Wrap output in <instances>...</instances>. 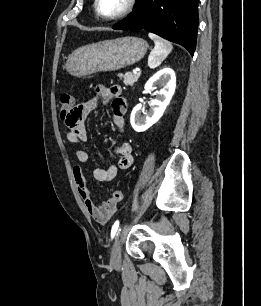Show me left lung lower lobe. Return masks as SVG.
Returning a JSON list of instances; mask_svg holds the SVG:
<instances>
[{
  "mask_svg": "<svg viewBox=\"0 0 261 306\" xmlns=\"http://www.w3.org/2000/svg\"><path fill=\"white\" fill-rule=\"evenodd\" d=\"M198 21V0H138L134 11L113 29H145L184 46L193 55Z\"/></svg>",
  "mask_w": 261,
  "mask_h": 306,
  "instance_id": "obj_1",
  "label": "left lung lower lobe"
}]
</instances>
